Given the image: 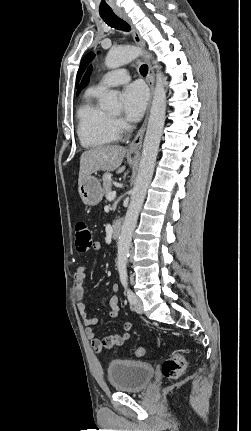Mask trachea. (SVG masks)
I'll return each instance as SVG.
<instances>
[{
	"instance_id": "1",
	"label": "trachea",
	"mask_w": 251,
	"mask_h": 431,
	"mask_svg": "<svg viewBox=\"0 0 251 431\" xmlns=\"http://www.w3.org/2000/svg\"><path fill=\"white\" fill-rule=\"evenodd\" d=\"M101 18L105 21L106 24H108L110 27H114L115 29H119L126 32L130 31L131 29L130 25L127 22L119 18L114 13L103 14L101 15ZM140 73L143 76L147 75L148 66L145 64L141 65Z\"/></svg>"
}]
</instances>
